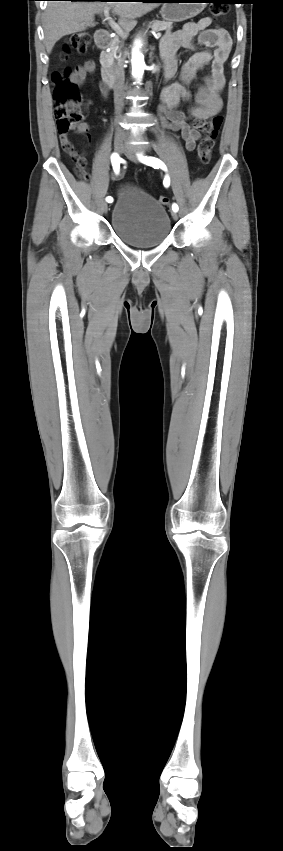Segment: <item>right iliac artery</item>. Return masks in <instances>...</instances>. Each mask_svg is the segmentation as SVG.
<instances>
[{"label": "right iliac artery", "mask_w": 283, "mask_h": 851, "mask_svg": "<svg viewBox=\"0 0 283 851\" xmlns=\"http://www.w3.org/2000/svg\"><path fill=\"white\" fill-rule=\"evenodd\" d=\"M111 162H112V166H113V170H114V172H115L116 174H118V173H119V170H120L121 158L119 157V155H118V154L113 153V154H112V156H111ZM106 201H107V202H109V203H111V202L113 201V198H112L111 196H108V197L106 198Z\"/></svg>", "instance_id": "82829eb1"}]
</instances>
